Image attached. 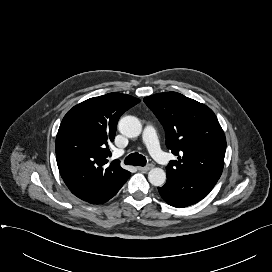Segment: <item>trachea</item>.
Wrapping results in <instances>:
<instances>
[{
  "label": "trachea",
  "mask_w": 272,
  "mask_h": 272,
  "mask_svg": "<svg viewBox=\"0 0 272 272\" xmlns=\"http://www.w3.org/2000/svg\"><path fill=\"white\" fill-rule=\"evenodd\" d=\"M124 162L127 165L145 166L147 161L143 155L135 152L128 155Z\"/></svg>",
  "instance_id": "1"
}]
</instances>
